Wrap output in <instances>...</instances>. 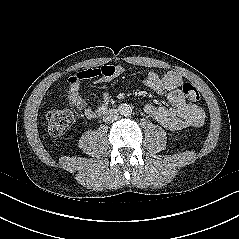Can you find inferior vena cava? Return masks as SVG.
Returning <instances> with one entry per match:
<instances>
[{
	"label": "inferior vena cava",
	"instance_id": "inferior-vena-cava-1",
	"mask_svg": "<svg viewBox=\"0 0 239 239\" xmlns=\"http://www.w3.org/2000/svg\"><path fill=\"white\" fill-rule=\"evenodd\" d=\"M119 118V113L117 109H109L103 115V121L105 123H112Z\"/></svg>",
	"mask_w": 239,
	"mask_h": 239
}]
</instances>
